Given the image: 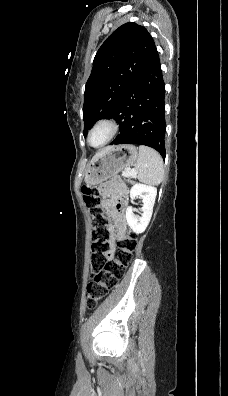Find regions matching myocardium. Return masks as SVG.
Wrapping results in <instances>:
<instances>
[{
    "mask_svg": "<svg viewBox=\"0 0 228 396\" xmlns=\"http://www.w3.org/2000/svg\"><path fill=\"white\" fill-rule=\"evenodd\" d=\"M100 127H105L108 131V135L102 144L95 146L91 142V137H92L93 132ZM118 132H119V124L117 123V121L114 118H111V117L100 118L90 128L88 135H87V142L92 148L101 149V148L107 146L110 142H112L114 140V138L117 136Z\"/></svg>",
    "mask_w": 228,
    "mask_h": 396,
    "instance_id": "f54148a6",
    "label": "myocardium"
}]
</instances>
